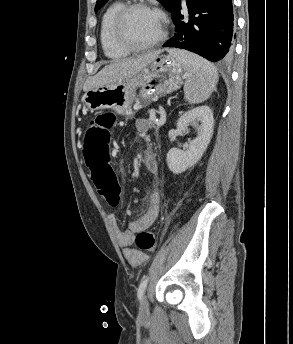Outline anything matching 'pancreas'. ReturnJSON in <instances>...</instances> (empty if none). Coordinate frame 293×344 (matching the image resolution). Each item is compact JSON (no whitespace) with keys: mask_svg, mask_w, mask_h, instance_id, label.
I'll list each match as a JSON object with an SVG mask.
<instances>
[{"mask_svg":"<svg viewBox=\"0 0 293 344\" xmlns=\"http://www.w3.org/2000/svg\"><path fill=\"white\" fill-rule=\"evenodd\" d=\"M147 126H148V128H155L156 126H155L154 120L149 119V120L147 121Z\"/></svg>","mask_w":293,"mask_h":344,"instance_id":"1","label":"pancreas"}]
</instances>
